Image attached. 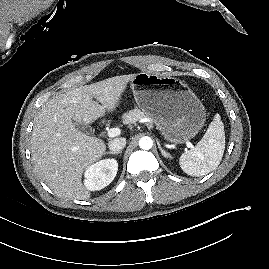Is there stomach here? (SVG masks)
Listing matches in <instances>:
<instances>
[{"label":"stomach","mask_w":269,"mask_h":269,"mask_svg":"<svg viewBox=\"0 0 269 269\" xmlns=\"http://www.w3.org/2000/svg\"><path fill=\"white\" fill-rule=\"evenodd\" d=\"M138 107L164 138L178 145L195 137L205 123V108L181 80L141 72L131 80Z\"/></svg>","instance_id":"0dacf381"}]
</instances>
